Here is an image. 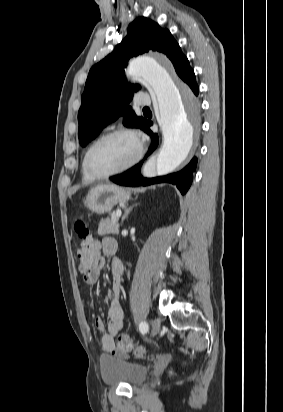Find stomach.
Returning a JSON list of instances; mask_svg holds the SVG:
<instances>
[{
    "instance_id": "stomach-1",
    "label": "stomach",
    "mask_w": 283,
    "mask_h": 412,
    "mask_svg": "<svg viewBox=\"0 0 283 412\" xmlns=\"http://www.w3.org/2000/svg\"><path fill=\"white\" fill-rule=\"evenodd\" d=\"M130 197L128 189L113 184L98 185L88 192L84 204L91 212L104 214L118 203L128 201Z\"/></svg>"
}]
</instances>
